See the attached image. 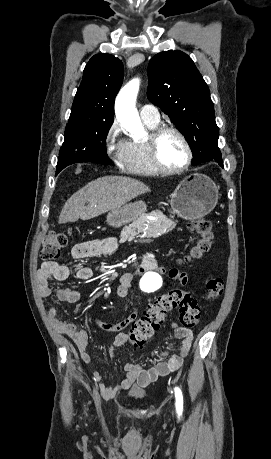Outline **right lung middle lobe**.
<instances>
[{
  "label": "right lung middle lobe",
  "instance_id": "obj_1",
  "mask_svg": "<svg viewBox=\"0 0 271 459\" xmlns=\"http://www.w3.org/2000/svg\"><path fill=\"white\" fill-rule=\"evenodd\" d=\"M113 117L70 116L60 149L57 169L80 162L110 164L106 152V137Z\"/></svg>",
  "mask_w": 271,
  "mask_h": 459
}]
</instances>
